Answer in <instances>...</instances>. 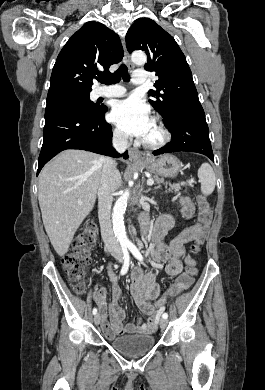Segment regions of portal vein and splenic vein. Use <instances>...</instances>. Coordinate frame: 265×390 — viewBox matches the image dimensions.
<instances>
[{"instance_id": "portal-vein-and-splenic-vein-1", "label": "portal vein and splenic vein", "mask_w": 265, "mask_h": 390, "mask_svg": "<svg viewBox=\"0 0 265 390\" xmlns=\"http://www.w3.org/2000/svg\"><path fill=\"white\" fill-rule=\"evenodd\" d=\"M153 183H154V180H153L152 178H149V179L147 180V185H148V186L153 185Z\"/></svg>"}]
</instances>
